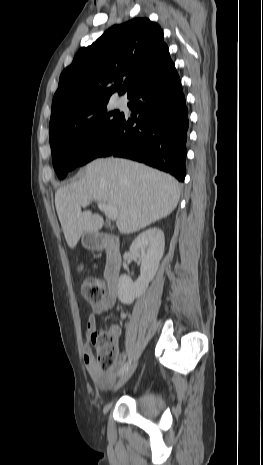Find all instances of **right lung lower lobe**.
<instances>
[{
    "instance_id": "obj_1",
    "label": "right lung lower lobe",
    "mask_w": 263,
    "mask_h": 465,
    "mask_svg": "<svg viewBox=\"0 0 263 465\" xmlns=\"http://www.w3.org/2000/svg\"><path fill=\"white\" fill-rule=\"evenodd\" d=\"M128 98L132 100L128 106L139 118L123 116L99 157L137 160L184 181L189 121L175 66Z\"/></svg>"
}]
</instances>
